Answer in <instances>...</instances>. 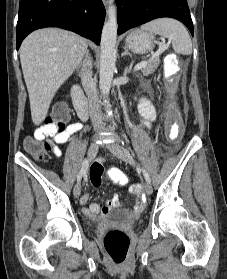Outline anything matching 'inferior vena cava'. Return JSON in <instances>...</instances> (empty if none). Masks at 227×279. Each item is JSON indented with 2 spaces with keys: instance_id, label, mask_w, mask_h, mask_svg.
I'll return each instance as SVG.
<instances>
[{
  "instance_id": "inferior-vena-cava-1",
  "label": "inferior vena cava",
  "mask_w": 227,
  "mask_h": 279,
  "mask_svg": "<svg viewBox=\"0 0 227 279\" xmlns=\"http://www.w3.org/2000/svg\"><path fill=\"white\" fill-rule=\"evenodd\" d=\"M81 82L84 90L87 94L89 101V113L95 130H102L104 128L101 111H100V101L98 98L96 84L92 78L91 67L88 68L81 75Z\"/></svg>"
}]
</instances>
